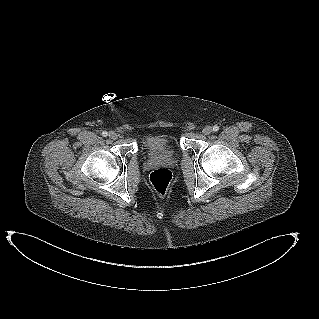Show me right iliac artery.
I'll return each mask as SVG.
<instances>
[{
    "label": "right iliac artery",
    "mask_w": 319,
    "mask_h": 319,
    "mask_svg": "<svg viewBox=\"0 0 319 319\" xmlns=\"http://www.w3.org/2000/svg\"><path fill=\"white\" fill-rule=\"evenodd\" d=\"M107 135H108V133H107L106 131H103V132H102V136H103V137H106Z\"/></svg>",
    "instance_id": "82829eb1"
}]
</instances>
